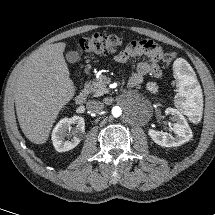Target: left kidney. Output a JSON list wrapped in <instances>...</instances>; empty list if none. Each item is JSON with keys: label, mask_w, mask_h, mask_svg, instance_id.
Here are the masks:
<instances>
[{"label": "left kidney", "mask_w": 215, "mask_h": 215, "mask_svg": "<svg viewBox=\"0 0 215 215\" xmlns=\"http://www.w3.org/2000/svg\"><path fill=\"white\" fill-rule=\"evenodd\" d=\"M165 113L172 115V120L175 122L172 130L175 136L167 132L149 129L148 135L151 139L162 147H175L188 142L193 137V134L185 117L174 108H167Z\"/></svg>", "instance_id": "1"}]
</instances>
